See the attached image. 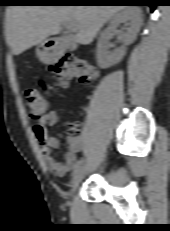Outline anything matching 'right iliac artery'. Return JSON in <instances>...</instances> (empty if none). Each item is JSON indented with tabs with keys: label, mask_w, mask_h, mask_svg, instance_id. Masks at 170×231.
Instances as JSON below:
<instances>
[{
	"label": "right iliac artery",
	"mask_w": 170,
	"mask_h": 231,
	"mask_svg": "<svg viewBox=\"0 0 170 231\" xmlns=\"http://www.w3.org/2000/svg\"><path fill=\"white\" fill-rule=\"evenodd\" d=\"M81 164H82V161L77 162L76 166L74 167V172H76L80 168Z\"/></svg>",
	"instance_id": "82829eb1"
}]
</instances>
